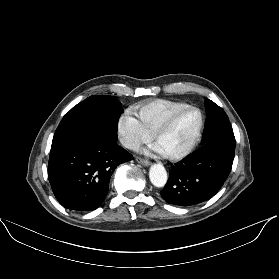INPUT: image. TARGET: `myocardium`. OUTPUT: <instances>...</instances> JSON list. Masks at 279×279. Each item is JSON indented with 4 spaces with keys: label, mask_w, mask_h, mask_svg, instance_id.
I'll list each match as a JSON object with an SVG mask.
<instances>
[{
    "label": "myocardium",
    "mask_w": 279,
    "mask_h": 279,
    "mask_svg": "<svg viewBox=\"0 0 279 279\" xmlns=\"http://www.w3.org/2000/svg\"><path fill=\"white\" fill-rule=\"evenodd\" d=\"M186 110H195L198 113L199 124H198V127H197L195 134L192 137L190 143L183 151H181L177 154H173V155H166V157L171 161L182 160V159L186 158L187 156H189L191 154V152L194 150V148L201 136L203 127H204V116H203L202 111L198 107L193 106V105L183 106V107L175 110L174 112H172L154 134V141L157 143L158 140L170 130V128L172 127L176 118Z\"/></svg>",
    "instance_id": "myocardium-1"
}]
</instances>
